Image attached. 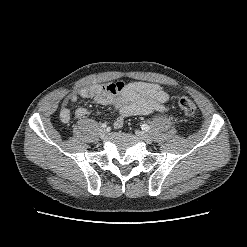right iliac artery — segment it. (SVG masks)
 <instances>
[{
	"label": "right iliac artery",
	"mask_w": 247,
	"mask_h": 247,
	"mask_svg": "<svg viewBox=\"0 0 247 247\" xmlns=\"http://www.w3.org/2000/svg\"><path fill=\"white\" fill-rule=\"evenodd\" d=\"M106 126H107L106 123H103V124H102V127H103V128H106Z\"/></svg>",
	"instance_id": "1"
}]
</instances>
